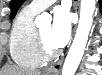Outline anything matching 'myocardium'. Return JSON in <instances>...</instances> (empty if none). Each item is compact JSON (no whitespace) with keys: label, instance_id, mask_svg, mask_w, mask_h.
<instances>
[{"label":"myocardium","instance_id":"f54148a6","mask_svg":"<svg viewBox=\"0 0 102 75\" xmlns=\"http://www.w3.org/2000/svg\"><path fill=\"white\" fill-rule=\"evenodd\" d=\"M35 45H36V54L40 62L51 61L58 54L57 50L51 51L48 49V47L45 45L43 41V38L39 29L36 30Z\"/></svg>","mask_w":102,"mask_h":75}]
</instances>
